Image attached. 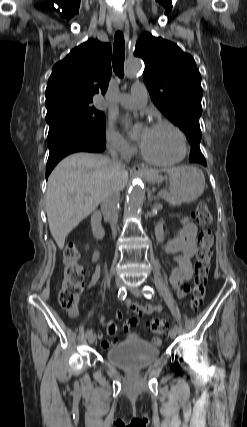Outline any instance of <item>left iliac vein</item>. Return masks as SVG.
<instances>
[{"instance_id":"obj_1","label":"left iliac vein","mask_w":247,"mask_h":427,"mask_svg":"<svg viewBox=\"0 0 247 427\" xmlns=\"http://www.w3.org/2000/svg\"><path fill=\"white\" fill-rule=\"evenodd\" d=\"M129 290L131 291V293L133 295H135L137 297H141L142 296V291L139 288L135 287V286H129ZM178 331L179 330H177L175 328L171 329L170 332H169L170 338H175L176 335L178 334Z\"/></svg>"}]
</instances>
